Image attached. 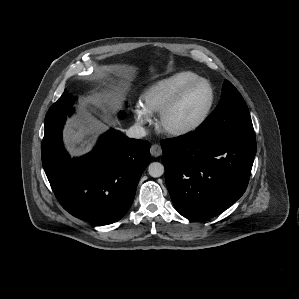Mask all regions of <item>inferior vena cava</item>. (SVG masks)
<instances>
[{"mask_svg":"<svg viewBox=\"0 0 299 299\" xmlns=\"http://www.w3.org/2000/svg\"><path fill=\"white\" fill-rule=\"evenodd\" d=\"M146 134H147L146 130L142 126L136 124L130 127L126 132V135L129 138H134V139H140L146 136Z\"/></svg>","mask_w":299,"mask_h":299,"instance_id":"inferior-vena-cava-1","label":"inferior vena cava"}]
</instances>
